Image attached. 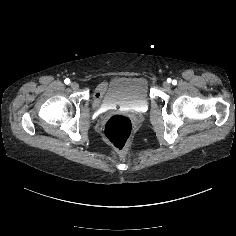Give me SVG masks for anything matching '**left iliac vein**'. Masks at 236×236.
Here are the masks:
<instances>
[{"instance_id": "left-iliac-vein-1", "label": "left iliac vein", "mask_w": 236, "mask_h": 236, "mask_svg": "<svg viewBox=\"0 0 236 236\" xmlns=\"http://www.w3.org/2000/svg\"><path fill=\"white\" fill-rule=\"evenodd\" d=\"M163 87H164L165 89H169V88L171 87V84H169L168 82H164V83H163Z\"/></svg>"}]
</instances>
